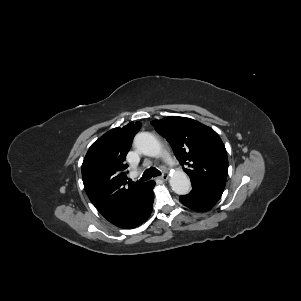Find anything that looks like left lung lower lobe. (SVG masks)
Instances as JSON below:
<instances>
[{"instance_id": "1", "label": "left lung lower lobe", "mask_w": 301, "mask_h": 301, "mask_svg": "<svg viewBox=\"0 0 301 301\" xmlns=\"http://www.w3.org/2000/svg\"><path fill=\"white\" fill-rule=\"evenodd\" d=\"M223 191L192 183V191L187 195H181V203L195 211L204 212L210 210L220 199Z\"/></svg>"}]
</instances>
